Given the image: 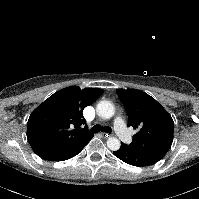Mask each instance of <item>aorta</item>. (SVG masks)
I'll return each instance as SVG.
<instances>
[{
	"label": "aorta",
	"mask_w": 199,
	"mask_h": 199,
	"mask_svg": "<svg viewBox=\"0 0 199 199\" xmlns=\"http://www.w3.org/2000/svg\"><path fill=\"white\" fill-rule=\"evenodd\" d=\"M96 112L99 117L103 119H110L114 113V105L109 101H100L96 106ZM120 141L115 137H109L107 140V147L112 151H117L120 148Z\"/></svg>",
	"instance_id": "obj_1"
}]
</instances>
